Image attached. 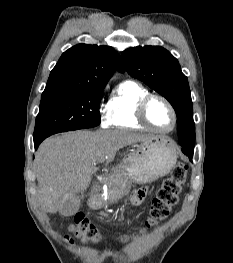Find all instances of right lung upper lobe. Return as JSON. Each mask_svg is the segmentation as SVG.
Instances as JSON below:
<instances>
[{
    "label": "right lung upper lobe",
    "mask_w": 233,
    "mask_h": 263,
    "mask_svg": "<svg viewBox=\"0 0 233 263\" xmlns=\"http://www.w3.org/2000/svg\"><path fill=\"white\" fill-rule=\"evenodd\" d=\"M115 70L123 72L124 67L112 47L78 44L62 54L42 95L104 89Z\"/></svg>",
    "instance_id": "obj_1"
}]
</instances>
